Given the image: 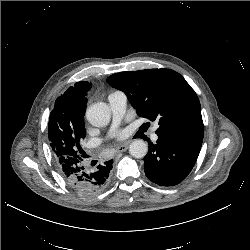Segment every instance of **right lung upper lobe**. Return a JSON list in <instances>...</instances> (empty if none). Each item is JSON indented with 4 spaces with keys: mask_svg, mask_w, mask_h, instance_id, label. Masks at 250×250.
Masks as SVG:
<instances>
[{
    "mask_svg": "<svg viewBox=\"0 0 250 250\" xmlns=\"http://www.w3.org/2000/svg\"><path fill=\"white\" fill-rule=\"evenodd\" d=\"M91 86L92 84L86 81L77 82L59 96L50 114L49 124L69 132L84 124L86 101Z\"/></svg>",
    "mask_w": 250,
    "mask_h": 250,
    "instance_id": "obj_1",
    "label": "right lung upper lobe"
}]
</instances>
